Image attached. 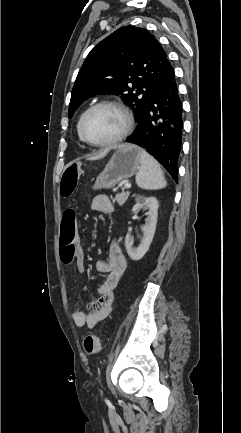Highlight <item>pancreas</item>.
<instances>
[{
  "instance_id": "pancreas-1",
  "label": "pancreas",
  "mask_w": 241,
  "mask_h": 433,
  "mask_svg": "<svg viewBox=\"0 0 241 433\" xmlns=\"http://www.w3.org/2000/svg\"><path fill=\"white\" fill-rule=\"evenodd\" d=\"M129 194V192L118 193L114 201H116L118 205L122 206L127 201Z\"/></svg>"
}]
</instances>
